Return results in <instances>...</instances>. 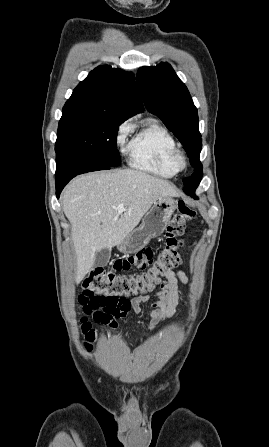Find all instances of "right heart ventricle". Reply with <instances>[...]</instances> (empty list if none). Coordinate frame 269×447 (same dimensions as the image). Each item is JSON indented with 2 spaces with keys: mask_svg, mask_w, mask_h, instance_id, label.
Returning a JSON list of instances; mask_svg holds the SVG:
<instances>
[{
  "mask_svg": "<svg viewBox=\"0 0 269 447\" xmlns=\"http://www.w3.org/2000/svg\"><path fill=\"white\" fill-rule=\"evenodd\" d=\"M177 145L170 131L149 118L128 146L131 167L171 178L178 173L173 159Z\"/></svg>",
  "mask_w": 269,
  "mask_h": 447,
  "instance_id": "right-heart-ventricle-1",
  "label": "right heart ventricle"
}]
</instances>
